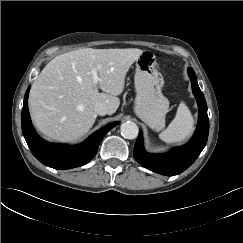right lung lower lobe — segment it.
Wrapping results in <instances>:
<instances>
[{
    "mask_svg": "<svg viewBox=\"0 0 243 243\" xmlns=\"http://www.w3.org/2000/svg\"><path fill=\"white\" fill-rule=\"evenodd\" d=\"M29 89H27L21 114L22 132L33 155L44 165L54 169H71L88 163L96 154L105 134L118 122H112L93 133L83 145L67 146L49 143L34 131L27 106Z\"/></svg>",
    "mask_w": 243,
    "mask_h": 243,
    "instance_id": "1",
    "label": "right lung lower lobe"
}]
</instances>
